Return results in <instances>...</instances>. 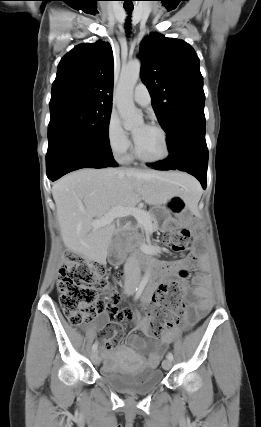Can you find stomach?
<instances>
[{"label":"stomach","mask_w":261,"mask_h":427,"mask_svg":"<svg viewBox=\"0 0 261 427\" xmlns=\"http://www.w3.org/2000/svg\"><path fill=\"white\" fill-rule=\"evenodd\" d=\"M188 203L182 195L172 196L163 206L156 210L155 216L158 217L160 212L181 214L187 210Z\"/></svg>","instance_id":"0dacf381"}]
</instances>
